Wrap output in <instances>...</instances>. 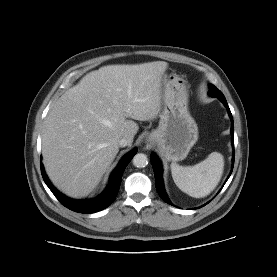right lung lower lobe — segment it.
I'll return each instance as SVG.
<instances>
[{
  "instance_id": "1",
  "label": "right lung lower lobe",
  "mask_w": 277,
  "mask_h": 277,
  "mask_svg": "<svg viewBox=\"0 0 277 277\" xmlns=\"http://www.w3.org/2000/svg\"><path fill=\"white\" fill-rule=\"evenodd\" d=\"M136 153H137V149L135 148L122 158L118 166L112 172L109 184L105 189V191L98 198L93 200H73L64 196L51 184V182L46 176V173L44 171L42 164H41V173L46 185L49 187V189L54 194V196L65 207L78 213H85V214L95 213L107 208L115 200L121 184L123 172Z\"/></svg>"
}]
</instances>
